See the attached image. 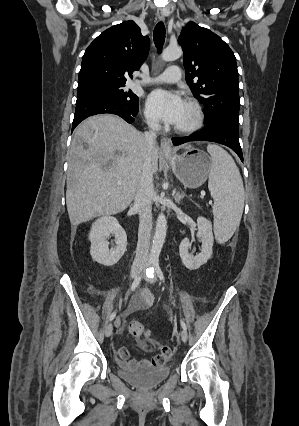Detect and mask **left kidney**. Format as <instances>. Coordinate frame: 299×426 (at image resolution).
I'll list each match as a JSON object with an SVG mask.
<instances>
[{
    "instance_id": "1",
    "label": "left kidney",
    "mask_w": 299,
    "mask_h": 426,
    "mask_svg": "<svg viewBox=\"0 0 299 426\" xmlns=\"http://www.w3.org/2000/svg\"><path fill=\"white\" fill-rule=\"evenodd\" d=\"M197 237L202 242V249L199 254L193 256L189 253L188 248L190 241L188 238H184L179 245V253L181 260L186 268L189 270H196L201 265L205 264L212 256V247L214 243L212 224L209 220L204 217L197 218Z\"/></svg>"
}]
</instances>
